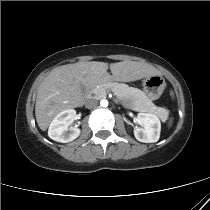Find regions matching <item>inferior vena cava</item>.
<instances>
[{"mask_svg": "<svg viewBox=\"0 0 210 210\" xmlns=\"http://www.w3.org/2000/svg\"><path fill=\"white\" fill-rule=\"evenodd\" d=\"M96 106H97V100L96 99H88L85 102V107L88 108V109H91V108L96 107Z\"/></svg>", "mask_w": 210, "mask_h": 210, "instance_id": "obj_1", "label": "inferior vena cava"}]
</instances>
